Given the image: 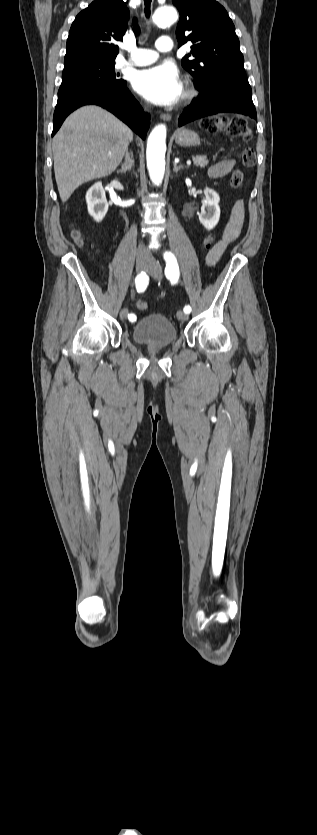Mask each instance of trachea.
Masks as SVG:
<instances>
[{"instance_id":"3493384b","label":"trachea","mask_w":317,"mask_h":835,"mask_svg":"<svg viewBox=\"0 0 317 835\" xmlns=\"http://www.w3.org/2000/svg\"><path fill=\"white\" fill-rule=\"evenodd\" d=\"M152 0H144L146 17L150 16V4Z\"/></svg>"}]
</instances>
